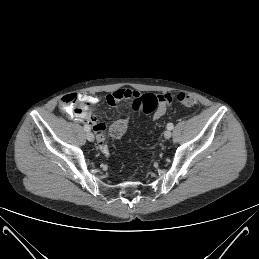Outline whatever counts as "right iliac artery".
I'll return each instance as SVG.
<instances>
[{"mask_svg":"<svg viewBox=\"0 0 259 259\" xmlns=\"http://www.w3.org/2000/svg\"><path fill=\"white\" fill-rule=\"evenodd\" d=\"M90 129H91V128H90V126H89V125H87V124H85V125H84V130H85V131H87V132H88V131H90Z\"/></svg>","mask_w":259,"mask_h":259,"instance_id":"1","label":"right iliac artery"}]
</instances>
